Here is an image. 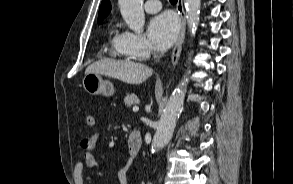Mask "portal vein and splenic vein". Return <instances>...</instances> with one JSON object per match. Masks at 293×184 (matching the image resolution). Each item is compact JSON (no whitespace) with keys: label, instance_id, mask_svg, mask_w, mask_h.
Returning <instances> with one entry per match:
<instances>
[{"label":"portal vein and splenic vein","instance_id":"1","mask_svg":"<svg viewBox=\"0 0 293 184\" xmlns=\"http://www.w3.org/2000/svg\"><path fill=\"white\" fill-rule=\"evenodd\" d=\"M138 110H139V107H137V106L133 107V112H138Z\"/></svg>","mask_w":293,"mask_h":184}]
</instances>
